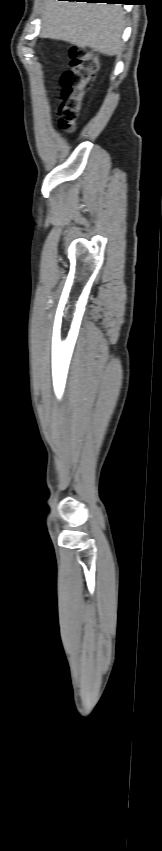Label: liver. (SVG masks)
<instances>
[{
    "mask_svg": "<svg viewBox=\"0 0 162 851\" xmlns=\"http://www.w3.org/2000/svg\"><path fill=\"white\" fill-rule=\"evenodd\" d=\"M41 20L43 38L89 47L108 56L122 51L125 15L119 5L44 0Z\"/></svg>",
    "mask_w": 162,
    "mask_h": 851,
    "instance_id": "obj_1",
    "label": "liver"
}]
</instances>
